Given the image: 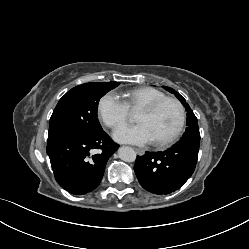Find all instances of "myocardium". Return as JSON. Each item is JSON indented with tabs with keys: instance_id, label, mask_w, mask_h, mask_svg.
<instances>
[{
	"instance_id": "f54148a6",
	"label": "myocardium",
	"mask_w": 249,
	"mask_h": 249,
	"mask_svg": "<svg viewBox=\"0 0 249 249\" xmlns=\"http://www.w3.org/2000/svg\"><path fill=\"white\" fill-rule=\"evenodd\" d=\"M173 102L177 105L179 112H180V120H179V124L176 127V129L174 130V132L168 136L167 138L163 139V140H159V141H154L155 145L159 148H165L168 147L170 145H172L180 136V134L182 133L184 127H185V123H186V109L184 107V105L182 104V102L180 100H178L175 97H169V96H165L163 98L157 99L143 107H141L139 109V111H144L147 113H152L155 110H157L163 103L165 102Z\"/></svg>"
}]
</instances>
